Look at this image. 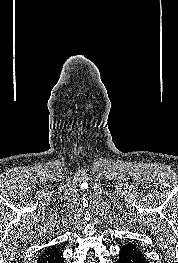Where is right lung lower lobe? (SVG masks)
Returning <instances> with one entry per match:
<instances>
[{"mask_svg":"<svg viewBox=\"0 0 178 263\" xmlns=\"http://www.w3.org/2000/svg\"><path fill=\"white\" fill-rule=\"evenodd\" d=\"M38 263H64L62 254L58 250L57 252L52 253L51 255L37 261Z\"/></svg>","mask_w":178,"mask_h":263,"instance_id":"1","label":"right lung lower lobe"}]
</instances>
